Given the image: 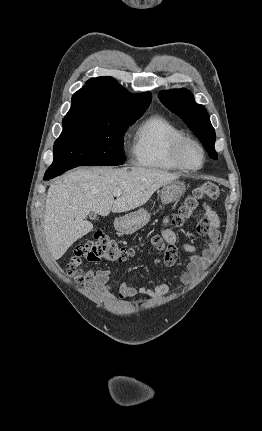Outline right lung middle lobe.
Returning a JSON list of instances; mask_svg holds the SVG:
<instances>
[{"mask_svg": "<svg viewBox=\"0 0 262 431\" xmlns=\"http://www.w3.org/2000/svg\"><path fill=\"white\" fill-rule=\"evenodd\" d=\"M78 121L63 124L54 143V161L49 167L122 165L125 161L123 134L136 119Z\"/></svg>", "mask_w": 262, "mask_h": 431, "instance_id": "obj_1", "label": "right lung middle lobe"}]
</instances>
